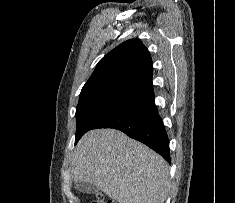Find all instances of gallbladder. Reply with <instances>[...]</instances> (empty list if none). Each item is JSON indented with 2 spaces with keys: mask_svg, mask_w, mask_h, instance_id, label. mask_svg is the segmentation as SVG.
Masks as SVG:
<instances>
[{
  "mask_svg": "<svg viewBox=\"0 0 235 203\" xmlns=\"http://www.w3.org/2000/svg\"><path fill=\"white\" fill-rule=\"evenodd\" d=\"M76 188L84 193H95L98 191V188L92 184L75 182Z\"/></svg>",
  "mask_w": 235,
  "mask_h": 203,
  "instance_id": "gallbladder-1",
  "label": "gallbladder"
}]
</instances>
